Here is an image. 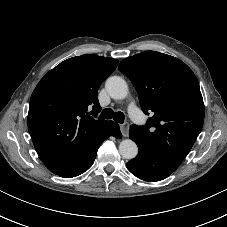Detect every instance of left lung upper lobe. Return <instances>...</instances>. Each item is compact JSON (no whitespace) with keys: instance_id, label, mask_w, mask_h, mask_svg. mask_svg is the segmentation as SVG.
Returning a JSON list of instances; mask_svg holds the SVG:
<instances>
[{"instance_id":"5c2ea615","label":"left lung upper lobe","mask_w":227,"mask_h":227,"mask_svg":"<svg viewBox=\"0 0 227 227\" xmlns=\"http://www.w3.org/2000/svg\"><path fill=\"white\" fill-rule=\"evenodd\" d=\"M119 70L135 86L143 112L151 114L145 126L130 127L137 144L181 162L198 137L205 114L192 70L181 60L156 51L122 60Z\"/></svg>"}]
</instances>
